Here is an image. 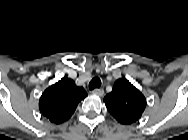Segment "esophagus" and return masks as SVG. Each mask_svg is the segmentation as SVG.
<instances>
[{"label":"esophagus","mask_w":188,"mask_h":140,"mask_svg":"<svg viewBox=\"0 0 188 140\" xmlns=\"http://www.w3.org/2000/svg\"><path fill=\"white\" fill-rule=\"evenodd\" d=\"M92 94L102 97L104 95V90L101 88H96L92 91Z\"/></svg>","instance_id":"1"}]
</instances>
